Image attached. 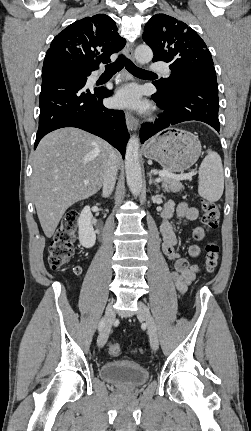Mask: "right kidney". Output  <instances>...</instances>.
Segmentation results:
<instances>
[{"instance_id": "ca27d5eb", "label": "right kidney", "mask_w": 251, "mask_h": 431, "mask_svg": "<svg viewBox=\"0 0 251 431\" xmlns=\"http://www.w3.org/2000/svg\"><path fill=\"white\" fill-rule=\"evenodd\" d=\"M92 218L90 207L85 206L78 219V234L80 244L87 249L93 247L96 241V234L92 226Z\"/></svg>"}]
</instances>
